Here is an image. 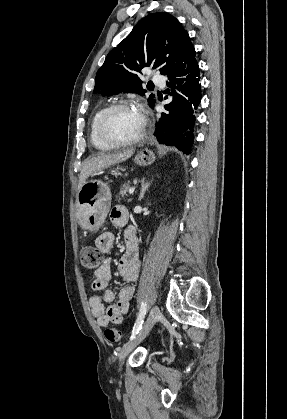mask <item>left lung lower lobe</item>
<instances>
[{
    "instance_id": "1",
    "label": "left lung lower lobe",
    "mask_w": 287,
    "mask_h": 419,
    "mask_svg": "<svg viewBox=\"0 0 287 419\" xmlns=\"http://www.w3.org/2000/svg\"><path fill=\"white\" fill-rule=\"evenodd\" d=\"M168 79L166 93L173 100L164 106L167 112L162 113L156 123L154 135L159 143L175 146L189 154L194 138V113L201 101L197 61L193 59L184 69L169 75Z\"/></svg>"
}]
</instances>
